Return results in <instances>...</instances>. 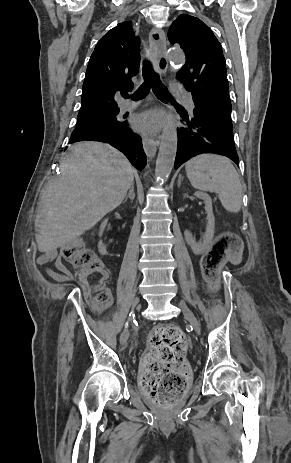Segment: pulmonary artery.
<instances>
[{
    "instance_id": "1",
    "label": "pulmonary artery",
    "mask_w": 291,
    "mask_h": 463,
    "mask_svg": "<svg viewBox=\"0 0 291 463\" xmlns=\"http://www.w3.org/2000/svg\"><path fill=\"white\" fill-rule=\"evenodd\" d=\"M171 91L175 97L182 99L186 103L189 112L192 113L195 106L191 96L186 91L180 89L177 85H173L171 87ZM139 103V101L125 100L121 102L120 109L123 112L130 111L136 108L139 105Z\"/></svg>"
}]
</instances>
